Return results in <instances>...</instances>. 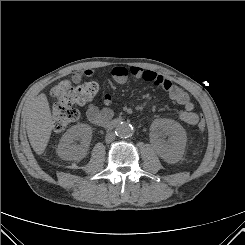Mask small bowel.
Masks as SVG:
<instances>
[{
	"instance_id": "c3829d8e",
	"label": "small bowel",
	"mask_w": 245,
	"mask_h": 245,
	"mask_svg": "<svg viewBox=\"0 0 245 245\" xmlns=\"http://www.w3.org/2000/svg\"><path fill=\"white\" fill-rule=\"evenodd\" d=\"M94 73L95 70L92 68L76 71L72 75V80L75 83H79L84 76H92ZM111 74L118 84H125L129 79H132L134 83L146 81L161 87L168 93L171 100L183 107L180 112V119L183 122L189 125H196L200 121V115L195 111L194 104L188 93L174 84L167 77L155 71L145 70L137 66H132L130 68L116 66L112 69ZM112 101V96L110 94H105L103 97L104 107L100 108L93 103L88 104L86 107V116L88 120L99 126H102L104 122L110 121L113 116V111L110 108Z\"/></svg>"
}]
</instances>
